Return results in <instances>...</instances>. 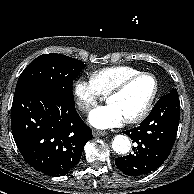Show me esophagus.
Masks as SVG:
<instances>
[{"label": "esophagus", "mask_w": 194, "mask_h": 194, "mask_svg": "<svg viewBox=\"0 0 194 194\" xmlns=\"http://www.w3.org/2000/svg\"><path fill=\"white\" fill-rule=\"evenodd\" d=\"M105 135H107V132H105V131H99V130H94L93 131V136L94 137H97V136H105Z\"/></svg>", "instance_id": "1"}]
</instances>
